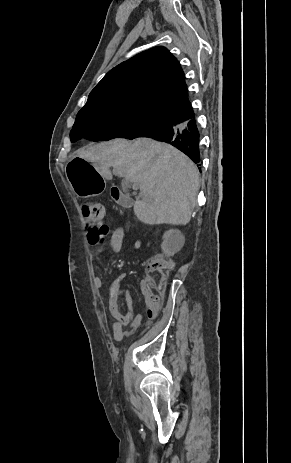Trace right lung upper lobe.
I'll return each mask as SVG.
<instances>
[{
  "mask_svg": "<svg viewBox=\"0 0 291 463\" xmlns=\"http://www.w3.org/2000/svg\"><path fill=\"white\" fill-rule=\"evenodd\" d=\"M85 108L141 110L165 119H194L184 72L165 48L154 47L110 70L89 94Z\"/></svg>",
  "mask_w": 291,
  "mask_h": 463,
  "instance_id": "right-lung-upper-lobe-1",
  "label": "right lung upper lobe"
}]
</instances>
